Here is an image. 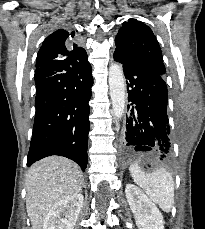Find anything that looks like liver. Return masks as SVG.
Wrapping results in <instances>:
<instances>
[{"mask_svg": "<svg viewBox=\"0 0 205 229\" xmlns=\"http://www.w3.org/2000/svg\"><path fill=\"white\" fill-rule=\"evenodd\" d=\"M82 181L80 167L67 158L50 156L34 163L25 183L31 229H42L49 210L58 201L79 193Z\"/></svg>", "mask_w": 205, "mask_h": 229, "instance_id": "liver-1", "label": "liver"}]
</instances>
